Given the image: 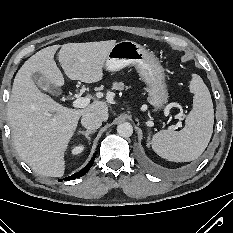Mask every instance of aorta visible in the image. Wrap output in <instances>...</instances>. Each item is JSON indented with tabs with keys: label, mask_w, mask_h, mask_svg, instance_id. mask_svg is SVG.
Returning <instances> with one entry per match:
<instances>
[{
	"label": "aorta",
	"mask_w": 233,
	"mask_h": 233,
	"mask_svg": "<svg viewBox=\"0 0 233 233\" xmlns=\"http://www.w3.org/2000/svg\"><path fill=\"white\" fill-rule=\"evenodd\" d=\"M117 133L122 137H130L133 133V127L128 122L121 123L117 126Z\"/></svg>",
	"instance_id": "aorta-1"
}]
</instances>
